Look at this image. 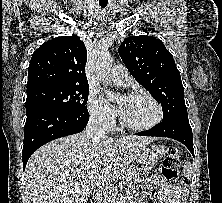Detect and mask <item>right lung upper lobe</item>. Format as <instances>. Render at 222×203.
<instances>
[{
    "label": "right lung upper lobe",
    "mask_w": 222,
    "mask_h": 203,
    "mask_svg": "<svg viewBox=\"0 0 222 203\" xmlns=\"http://www.w3.org/2000/svg\"><path fill=\"white\" fill-rule=\"evenodd\" d=\"M87 50L78 36H61L43 43L32 55L27 91L56 85H87Z\"/></svg>",
    "instance_id": "cb5924a9"
}]
</instances>
